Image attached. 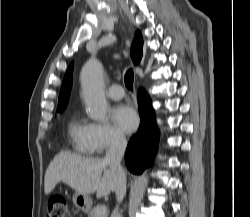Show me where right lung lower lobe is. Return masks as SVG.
<instances>
[{
	"label": "right lung lower lobe",
	"instance_id": "right-lung-lower-lobe-1",
	"mask_svg": "<svg viewBox=\"0 0 250 217\" xmlns=\"http://www.w3.org/2000/svg\"><path fill=\"white\" fill-rule=\"evenodd\" d=\"M137 99L141 123L128 143L125 161L131 172L140 174L153 163L158 149L159 130L150 98L141 90Z\"/></svg>",
	"mask_w": 250,
	"mask_h": 217
}]
</instances>
